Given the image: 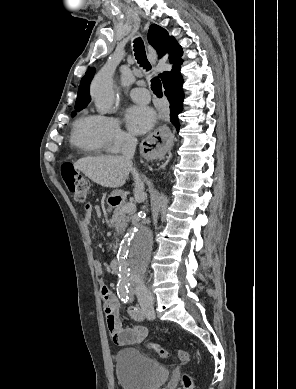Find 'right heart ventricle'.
<instances>
[{"label":"right heart ventricle","mask_w":296,"mask_h":389,"mask_svg":"<svg viewBox=\"0 0 296 389\" xmlns=\"http://www.w3.org/2000/svg\"><path fill=\"white\" fill-rule=\"evenodd\" d=\"M71 143L91 154H102L108 151L103 134L102 116L84 114L74 123Z\"/></svg>","instance_id":"1"}]
</instances>
